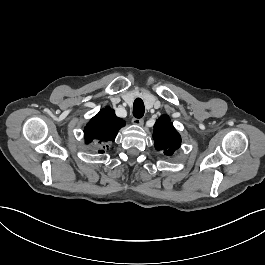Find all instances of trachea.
Wrapping results in <instances>:
<instances>
[{
    "label": "trachea",
    "mask_w": 265,
    "mask_h": 265,
    "mask_svg": "<svg viewBox=\"0 0 265 265\" xmlns=\"http://www.w3.org/2000/svg\"><path fill=\"white\" fill-rule=\"evenodd\" d=\"M144 112H145V107L143 100L141 98H137L133 104V115L135 118L140 119L141 117H143Z\"/></svg>",
    "instance_id": "3493384b"
}]
</instances>
